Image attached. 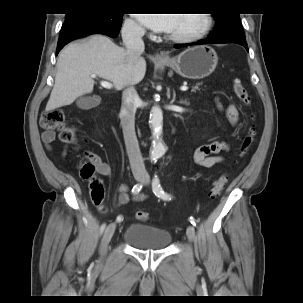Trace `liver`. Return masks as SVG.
<instances>
[{
	"label": "liver",
	"instance_id": "liver-1",
	"mask_svg": "<svg viewBox=\"0 0 303 303\" xmlns=\"http://www.w3.org/2000/svg\"><path fill=\"white\" fill-rule=\"evenodd\" d=\"M57 73L46 111L71 105L78 97L93 91L91 75L111 81L116 90L135 85L146 73L144 58L130 63L126 50L103 35H91L70 43L59 54Z\"/></svg>",
	"mask_w": 303,
	"mask_h": 303
}]
</instances>
